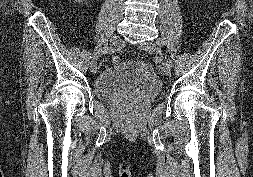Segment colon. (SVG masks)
<instances>
[{
  "mask_svg": "<svg viewBox=\"0 0 253 177\" xmlns=\"http://www.w3.org/2000/svg\"><path fill=\"white\" fill-rule=\"evenodd\" d=\"M120 61H121V59H120L119 56H114V57L112 58V62H113L114 64L119 63Z\"/></svg>",
  "mask_w": 253,
  "mask_h": 177,
  "instance_id": "5ec220e1",
  "label": "colon"
}]
</instances>
